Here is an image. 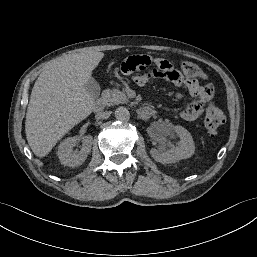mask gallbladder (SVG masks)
Masks as SVG:
<instances>
[{"mask_svg": "<svg viewBox=\"0 0 257 257\" xmlns=\"http://www.w3.org/2000/svg\"><path fill=\"white\" fill-rule=\"evenodd\" d=\"M86 91L93 97H98L100 94V86L98 82L91 78L85 85H84Z\"/></svg>", "mask_w": 257, "mask_h": 257, "instance_id": "bac80fb5", "label": "gallbladder"}]
</instances>
